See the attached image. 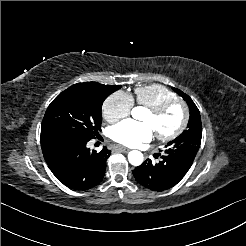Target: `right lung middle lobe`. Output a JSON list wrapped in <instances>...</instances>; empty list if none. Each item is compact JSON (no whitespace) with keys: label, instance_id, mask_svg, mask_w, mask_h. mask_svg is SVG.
Instances as JSON below:
<instances>
[{"label":"right lung middle lobe","instance_id":"dd1d6c3e","mask_svg":"<svg viewBox=\"0 0 246 246\" xmlns=\"http://www.w3.org/2000/svg\"><path fill=\"white\" fill-rule=\"evenodd\" d=\"M120 87L85 82L60 93L47 108L41 125V140L94 138L102 122L103 101Z\"/></svg>","mask_w":246,"mask_h":246}]
</instances>
